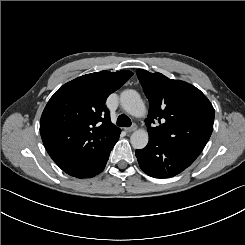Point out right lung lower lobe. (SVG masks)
I'll return each mask as SVG.
<instances>
[{"label":"right lung lower lobe","instance_id":"obj_1","mask_svg":"<svg viewBox=\"0 0 245 245\" xmlns=\"http://www.w3.org/2000/svg\"><path fill=\"white\" fill-rule=\"evenodd\" d=\"M118 138L108 149L97 155L86 157L81 161L78 166L64 172L76 178H91L95 175H98L104 170L110 155V151L112 150L115 143L118 141Z\"/></svg>","mask_w":245,"mask_h":245}]
</instances>
